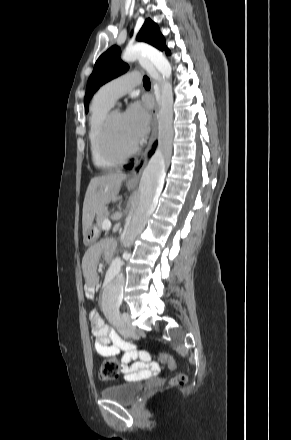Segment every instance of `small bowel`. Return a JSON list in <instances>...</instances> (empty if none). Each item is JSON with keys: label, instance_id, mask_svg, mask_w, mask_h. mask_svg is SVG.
<instances>
[{"label": "small bowel", "instance_id": "obj_1", "mask_svg": "<svg viewBox=\"0 0 291 440\" xmlns=\"http://www.w3.org/2000/svg\"><path fill=\"white\" fill-rule=\"evenodd\" d=\"M113 249V242L106 240L89 248L83 256L82 269L86 280L84 290L85 299L88 302L93 301L95 296L96 285L99 280L97 269L101 256L113 251ZM89 318L95 336V349L99 355L112 357L124 352L121 361V372L126 378L145 379L156 376L161 372V366L158 363L151 359H144L138 353L135 344L122 340L111 326L104 323L96 310L90 312ZM131 361L133 363L129 365Z\"/></svg>", "mask_w": 291, "mask_h": 440}]
</instances>
